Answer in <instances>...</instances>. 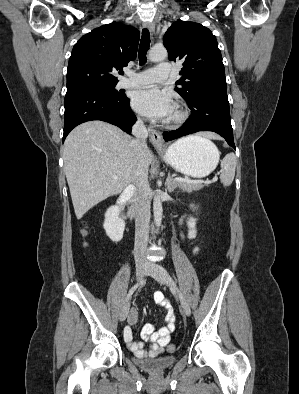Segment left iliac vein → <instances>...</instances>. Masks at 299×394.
<instances>
[{
	"instance_id": "left-iliac-vein-1",
	"label": "left iliac vein",
	"mask_w": 299,
	"mask_h": 394,
	"mask_svg": "<svg viewBox=\"0 0 299 394\" xmlns=\"http://www.w3.org/2000/svg\"><path fill=\"white\" fill-rule=\"evenodd\" d=\"M147 274L151 275L159 283L168 286L171 290L176 292L179 297L181 308L184 314L187 316L191 314V309L187 300L185 299L183 294L179 291V289L177 288L176 284L174 283L168 272L162 266L158 264H152L149 262L147 264Z\"/></svg>"
}]
</instances>
